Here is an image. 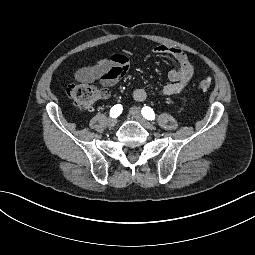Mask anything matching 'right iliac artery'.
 I'll list each match as a JSON object with an SVG mask.
<instances>
[{"instance_id":"right-iliac-artery-1","label":"right iliac artery","mask_w":255,"mask_h":255,"mask_svg":"<svg viewBox=\"0 0 255 255\" xmlns=\"http://www.w3.org/2000/svg\"><path fill=\"white\" fill-rule=\"evenodd\" d=\"M123 107L120 104L114 105L110 110V116L112 118L118 117L122 113Z\"/></svg>"}]
</instances>
